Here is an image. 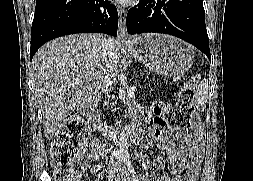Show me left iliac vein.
I'll list each match as a JSON object with an SVG mask.
<instances>
[{
	"instance_id": "4c4485c4",
	"label": "left iliac vein",
	"mask_w": 253,
	"mask_h": 181,
	"mask_svg": "<svg viewBox=\"0 0 253 181\" xmlns=\"http://www.w3.org/2000/svg\"><path fill=\"white\" fill-rule=\"evenodd\" d=\"M115 181H120V179L115 180ZM121 181H132V180H131V177L129 176V174L127 172H124V174L121 178Z\"/></svg>"
}]
</instances>
